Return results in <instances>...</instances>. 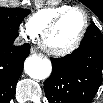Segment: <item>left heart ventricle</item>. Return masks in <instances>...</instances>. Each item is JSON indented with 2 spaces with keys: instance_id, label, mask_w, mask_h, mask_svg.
<instances>
[{
  "instance_id": "left-heart-ventricle-1",
  "label": "left heart ventricle",
  "mask_w": 103,
  "mask_h": 103,
  "mask_svg": "<svg viewBox=\"0 0 103 103\" xmlns=\"http://www.w3.org/2000/svg\"><path fill=\"white\" fill-rule=\"evenodd\" d=\"M84 26V16L75 11L66 16L47 37V45L54 49H63L73 44Z\"/></svg>"
}]
</instances>
